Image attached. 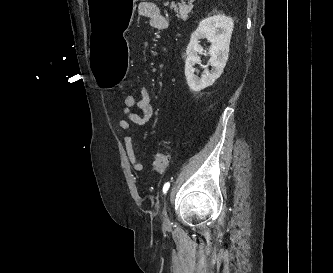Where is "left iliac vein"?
Wrapping results in <instances>:
<instances>
[{
	"label": "left iliac vein",
	"instance_id": "4c4485c4",
	"mask_svg": "<svg viewBox=\"0 0 333 273\" xmlns=\"http://www.w3.org/2000/svg\"><path fill=\"white\" fill-rule=\"evenodd\" d=\"M170 220L167 214V204L166 202L164 203V208H163V225L168 226Z\"/></svg>",
	"mask_w": 333,
	"mask_h": 273
}]
</instances>
